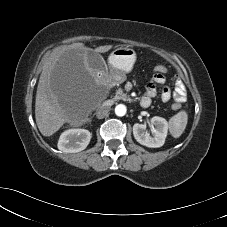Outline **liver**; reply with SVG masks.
I'll return each instance as SVG.
<instances>
[{
    "instance_id": "obj_1",
    "label": "liver",
    "mask_w": 227,
    "mask_h": 227,
    "mask_svg": "<svg viewBox=\"0 0 227 227\" xmlns=\"http://www.w3.org/2000/svg\"><path fill=\"white\" fill-rule=\"evenodd\" d=\"M112 45L98 46L96 53H105ZM91 51L83 43H73L55 51L43 66L39 78L35 119L43 136H51L70 121L72 100H77L82 84L99 82V73L87 61Z\"/></svg>"
}]
</instances>
